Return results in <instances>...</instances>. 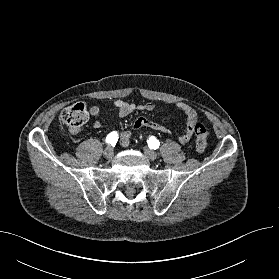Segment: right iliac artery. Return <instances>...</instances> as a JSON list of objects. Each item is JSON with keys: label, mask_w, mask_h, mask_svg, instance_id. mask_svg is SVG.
Wrapping results in <instances>:
<instances>
[{"label": "right iliac artery", "mask_w": 279, "mask_h": 279, "mask_svg": "<svg viewBox=\"0 0 279 279\" xmlns=\"http://www.w3.org/2000/svg\"><path fill=\"white\" fill-rule=\"evenodd\" d=\"M118 140V133L113 131L106 137V143L114 146Z\"/></svg>", "instance_id": "1"}]
</instances>
